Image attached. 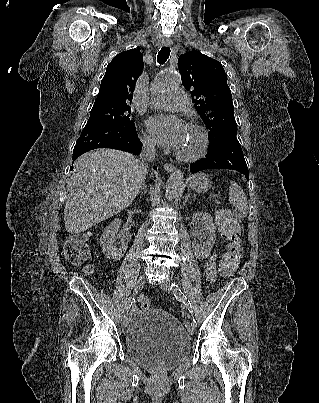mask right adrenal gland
<instances>
[{"label": "right adrenal gland", "instance_id": "right-adrenal-gland-1", "mask_svg": "<svg viewBox=\"0 0 319 403\" xmlns=\"http://www.w3.org/2000/svg\"><path fill=\"white\" fill-rule=\"evenodd\" d=\"M146 189H147V186H146L145 182H143L142 185H141V187H140V189L138 190L137 194H140L141 192H143L144 194H146V192H147Z\"/></svg>", "mask_w": 319, "mask_h": 403}]
</instances>
